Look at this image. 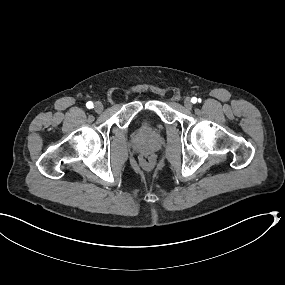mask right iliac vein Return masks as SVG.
Instances as JSON below:
<instances>
[{"instance_id": "63e3f726", "label": "right iliac vein", "mask_w": 285, "mask_h": 285, "mask_svg": "<svg viewBox=\"0 0 285 285\" xmlns=\"http://www.w3.org/2000/svg\"><path fill=\"white\" fill-rule=\"evenodd\" d=\"M94 109L97 113H101L104 109V106L101 102H96L94 105Z\"/></svg>"}]
</instances>
